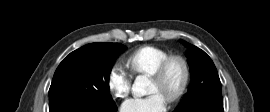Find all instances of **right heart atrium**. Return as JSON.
<instances>
[{"label":"right heart atrium","mask_w":270,"mask_h":112,"mask_svg":"<svg viewBox=\"0 0 270 112\" xmlns=\"http://www.w3.org/2000/svg\"><path fill=\"white\" fill-rule=\"evenodd\" d=\"M132 74L122 63H115L108 72V87L115 98L124 99L131 91Z\"/></svg>","instance_id":"1"}]
</instances>
